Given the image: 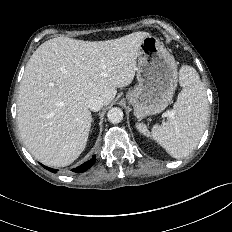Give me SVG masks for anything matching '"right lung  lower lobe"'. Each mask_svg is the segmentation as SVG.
Listing matches in <instances>:
<instances>
[{
    "instance_id": "98d812e1",
    "label": "right lung lower lobe",
    "mask_w": 232,
    "mask_h": 232,
    "mask_svg": "<svg viewBox=\"0 0 232 232\" xmlns=\"http://www.w3.org/2000/svg\"><path fill=\"white\" fill-rule=\"evenodd\" d=\"M95 161H96V156L93 155L92 158H91L88 162H86V163L80 165L79 167H77V168H75V169H72V171L75 172V173H82V172L88 170L89 168H91L92 165L95 163ZM41 165H42V164H41ZM42 166H43L45 169H47V170H49V171H51V172H53V173H56V172H57L56 169H52V168L46 167V166H44V165H42Z\"/></svg>"
}]
</instances>
